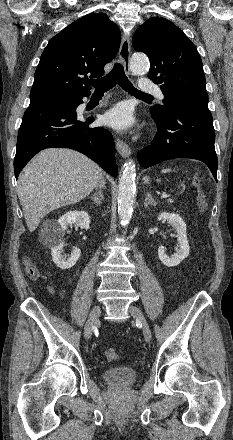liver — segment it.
I'll return each mask as SVG.
<instances>
[{"label":"liver","instance_id":"1","mask_svg":"<svg viewBox=\"0 0 233 440\" xmlns=\"http://www.w3.org/2000/svg\"><path fill=\"white\" fill-rule=\"evenodd\" d=\"M101 168L80 152L50 148L22 170L17 193L30 232L51 211L88 196L102 177Z\"/></svg>","mask_w":233,"mask_h":440}]
</instances>
